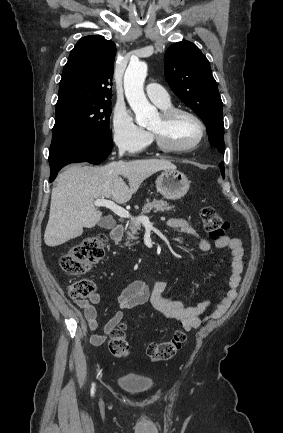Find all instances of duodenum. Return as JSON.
Returning a JSON list of instances; mask_svg holds the SVG:
<instances>
[{
	"label": "duodenum",
	"mask_w": 283,
	"mask_h": 433,
	"mask_svg": "<svg viewBox=\"0 0 283 433\" xmlns=\"http://www.w3.org/2000/svg\"><path fill=\"white\" fill-rule=\"evenodd\" d=\"M124 232H125V227L121 224H118L115 227H113L110 236L112 240H114L115 242H119L122 239Z\"/></svg>",
	"instance_id": "1"
}]
</instances>
